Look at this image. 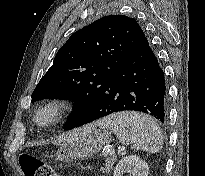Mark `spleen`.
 <instances>
[{
    "mask_svg": "<svg viewBox=\"0 0 205 176\" xmlns=\"http://www.w3.org/2000/svg\"><path fill=\"white\" fill-rule=\"evenodd\" d=\"M96 124L111 129L122 144L130 145L132 149L151 153L162 149V131L148 115L123 111L100 119Z\"/></svg>",
    "mask_w": 205,
    "mask_h": 176,
    "instance_id": "3e777b00",
    "label": "spleen"
}]
</instances>
